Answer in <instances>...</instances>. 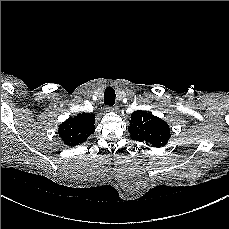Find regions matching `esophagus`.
<instances>
[{
  "instance_id": "obj_1",
  "label": "esophagus",
  "mask_w": 229,
  "mask_h": 229,
  "mask_svg": "<svg viewBox=\"0 0 229 229\" xmlns=\"http://www.w3.org/2000/svg\"><path fill=\"white\" fill-rule=\"evenodd\" d=\"M107 110L108 111L117 112L119 110V108H118V106H108Z\"/></svg>"
}]
</instances>
